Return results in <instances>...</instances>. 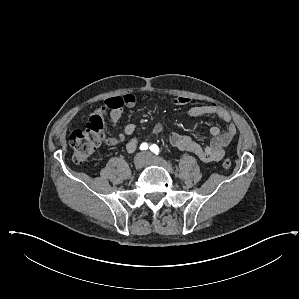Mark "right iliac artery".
<instances>
[{
	"label": "right iliac artery",
	"mask_w": 299,
	"mask_h": 299,
	"mask_svg": "<svg viewBox=\"0 0 299 299\" xmlns=\"http://www.w3.org/2000/svg\"><path fill=\"white\" fill-rule=\"evenodd\" d=\"M148 149V144L147 143H142L140 145V150H147Z\"/></svg>",
	"instance_id": "82829eb1"
}]
</instances>
